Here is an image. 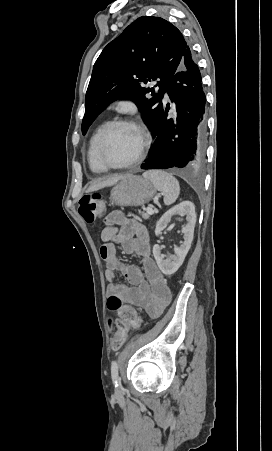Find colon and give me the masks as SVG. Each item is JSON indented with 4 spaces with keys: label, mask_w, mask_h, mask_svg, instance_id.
Wrapping results in <instances>:
<instances>
[{
    "label": "colon",
    "mask_w": 272,
    "mask_h": 451,
    "mask_svg": "<svg viewBox=\"0 0 272 451\" xmlns=\"http://www.w3.org/2000/svg\"><path fill=\"white\" fill-rule=\"evenodd\" d=\"M78 212L87 224L95 223L104 213L103 196L98 192H92L81 197ZM105 305L109 313H117L120 337H124L132 327H138L140 323L138 313L134 308L123 305L118 297L106 298ZM122 343L121 338L110 339L111 347H121Z\"/></svg>",
    "instance_id": "5ec220e1"
}]
</instances>
